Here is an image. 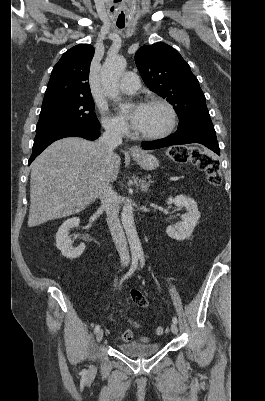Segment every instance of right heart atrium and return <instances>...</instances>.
Segmentation results:
<instances>
[{
	"label": "right heart atrium",
	"instance_id": "1",
	"mask_svg": "<svg viewBox=\"0 0 265 401\" xmlns=\"http://www.w3.org/2000/svg\"><path fill=\"white\" fill-rule=\"evenodd\" d=\"M101 124L105 132L110 136L121 137L128 134L127 125L118 118L107 116L104 109H102Z\"/></svg>",
	"mask_w": 265,
	"mask_h": 401
}]
</instances>
